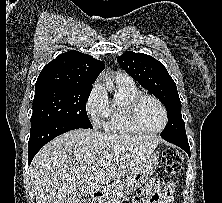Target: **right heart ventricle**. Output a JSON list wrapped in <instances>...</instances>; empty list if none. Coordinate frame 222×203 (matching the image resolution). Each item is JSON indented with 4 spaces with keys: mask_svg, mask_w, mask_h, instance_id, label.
<instances>
[{
    "mask_svg": "<svg viewBox=\"0 0 222 203\" xmlns=\"http://www.w3.org/2000/svg\"><path fill=\"white\" fill-rule=\"evenodd\" d=\"M115 85V93L109 101L104 128L106 131L116 134H138L140 131L129 120L127 107L129 101L139 95L141 91L132 81L126 82L115 79Z\"/></svg>",
    "mask_w": 222,
    "mask_h": 203,
    "instance_id": "e07e8e85",
    "label": "right heart ventricle"
}]
</instances>
